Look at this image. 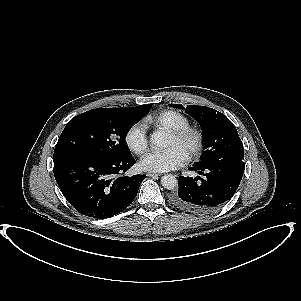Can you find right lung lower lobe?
Returning a JSON list of instances; mask_svg holds the SVG:
<instances>
[{
    "label": "right lung lower lobe",
    "mask_w": 301,
    "mask_h": 301,
    "mask_svg": "<svg viewBox=\"0 0 301 301\" xmlns=\"http://www.w3.org/2000/svg\"><path fill=\"white\" fill-rule=\"evenodd\" d=\"M135 159L74 154L54 160L55 179L69 203L81 214L110 218L135 199L146 175L122 176Z\"/></svg>",
    "instance_id": "98d812e1"
}]
</instances>
